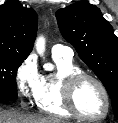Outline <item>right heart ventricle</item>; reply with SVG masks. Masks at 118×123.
I'll use <instances>...</instances> for the list:
<instances>
[{
	"mask_svg": "<svg viewBox=\"0 0 118 123\" xmlns=\"http://www.w3.org/2000/svg\"><path fill=\"white\" fill-rule=\"evenodd\" d=\"M57 70L55 73L41 76V82L38 93L35 97V103L41 112L56 117H72L62 101L61 80L72 72L79 71V68L73 63L61 57H53Z\"/></svg>",
	"mask_w": 118,
	"mask_h": 123,
	"instance_id": "1",
	"label": "right heart ventricle"
}]
</instances>
